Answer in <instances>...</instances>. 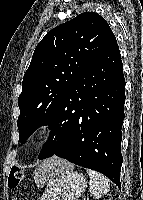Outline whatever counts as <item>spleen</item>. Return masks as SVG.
Segmentation results:
<instances>
[{
	"label": "spleen",
	"instance_id": "1",
	"mask_svg": "<svg viewBox=\"0 0 143 200\" xmlns=\"http://www.w3.org/2000/svg\"><path fill=\"white\" fill-rule=\"evenodd\" d=\"M87 173L90 177L89 190L95 199L103 197L109 191L108 179L101 173L87 169Z\"/></svg>",
	"mask_w": 143,
	"mask_h": 200
}]
</instances>
